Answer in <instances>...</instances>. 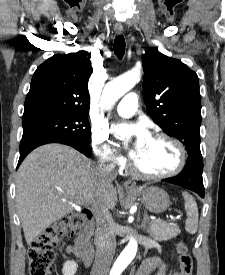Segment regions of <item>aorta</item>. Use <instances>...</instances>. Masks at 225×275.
Here are the masks:
<instances>
[{"label": "aorta", "instance_id": "1", "mask_svg": "<svg viewBox=\"0 0 225 275\" xmlns=\"http://www.w3.org/2000/svg\"><path fill=\"white\" fill-rule=\"evenodd\" d=\"M140 77V70L134 69L108 82L101 96V107L107 110L111 109L125 93L140 81ZM137 249L138 244L136 239L130 237L127 246L114 263L110 275H121L136 256Z\"/></svg>", "mask_w": 225, "mask_h": 275}]
</instances>
